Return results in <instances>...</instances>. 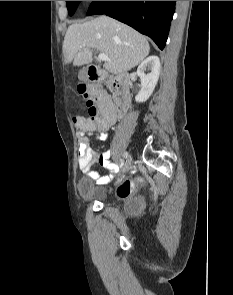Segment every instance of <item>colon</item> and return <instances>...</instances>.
I'll list each match as a JSON object with an SVG mask.
<instances>
[{"instance_id":"1","label":"colon","mask_w":233,"mask_h":295,"mask_svg":"<svg viewBox=\"0 0 233 295\" xmlns=\"http://www.w3.org/2000/svg\"><path fill=\"white\" fill-rule=\"evenodd\" d=\"M98 81H91L88 83H81L78 85V92L83 97L88 108L89 117L75 115L73 117L74 124L78 131L88 130L96 126L104 117L103 113L97 105L98 98L103 92L96 84ZM116 86V80H113V87ZM134 183L127 180L118 188V195L121 197L127 196L132 189Z\"/></svg>"}]
</instances>
